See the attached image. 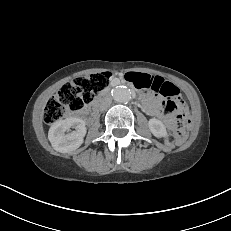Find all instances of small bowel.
Listing matches in <instances>:
<instances>
[{
    "label": "small bowel",
    "instance_id": "c3829d8e",
    "mask_svg": "<svg viewBox=\"0 0 231 231\" xmlns=\"http://www.w3.org/2000/svg\"><path fill=\"white\" fill-rule=\"evenodd\" d=\"M135 76H138L139 79H136ZM127 78L136 88L149 91L148 94L143 93L144 109L147 113L163 118L168 126L175 124V117L170 113L174 106L170 108L172 101L170 99L162 101L153 95V93H158L159 89L166 84L174 86L171 82L161 76L144 72H130L127 74ZM179 108L181 111L185 110L184 104L180 103Z\"/></svg>",
    "mask_w": 231,
    "mask_h": 231
}]
</instances>
